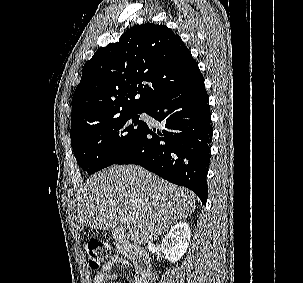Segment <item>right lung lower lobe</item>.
<instances>
[{"instance_id": "1", "label": "right lung lower lobe", "mask_w": 303, "mask_h": 283, "mask_svg": "<svg viewBox=\"0 0 303 283\" xmlns=\"http://www.w3.org/2000/svg\"><path fill=\"white\" fill-rule=\"evenodd\" d=\"M146 113L162 122V132L146 127L116 164H136L207 200V168L212 140L209 97L203 75L153 103Z\"/></svg>"}]
</instances>
